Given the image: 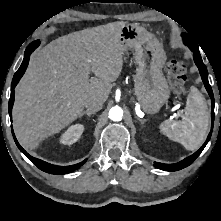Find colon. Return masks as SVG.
Returning <instances> with one entry per match:
<instances>
[{
	"instance_id": "obj_1",
	"label": "colon",
	"mask_w": 221,
	"mask_h": 221,
	"mask_svg": "<svg viewBox=\"0 0 221 221\" xmlns=\"http://www.w3.org/2000/svg\"><path fill=\"white\" fill-rule=\"evenodd\" d=\"M168 79L175 92L183 91L186 81V65L181 61H171L168 65Z\"/></svg>"
}]
</instances>
